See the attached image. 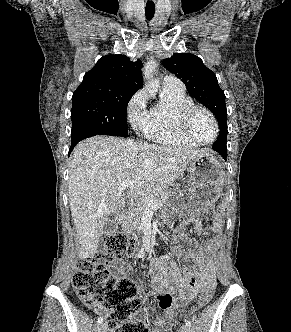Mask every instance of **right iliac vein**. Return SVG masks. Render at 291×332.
Listing matches in <instances>:
<instances>
[{
  "label": "right iliac vein",
  "instance_id": "obj_1",
  "mask_svg": "<svg viewBox=\"0 0 291 332\" xmlns=\"http://www.w3.org/2000/svg\"><path fill=\"white\" fill-rule=\"evenodd\" d=\"M98 332H107V327L105 324H100L98 327Z\"/></svg>",
  "mask_w": 291,
  "mask_h": 332
}]
</instances>
